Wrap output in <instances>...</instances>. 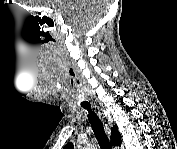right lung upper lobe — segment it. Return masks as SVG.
<instances>
[{"mask_svg":"<svg viewBox=\"0 0 177 149\" xmlns=\"http://www.w3.org/2000/svg\"><path fill=\"white\" fill-rule=\"evenodd\" d=\"M112 134H111V144L112 146H120L121 145V134L118 131L117 126H114L111 128ZM66 149H72L73 144L69 143L65 146Z\"/></svg>","mask_w":177,"mask_h":149,"instance_id":"obj_1","label":"right lung upper lobe"}]
</instances>
